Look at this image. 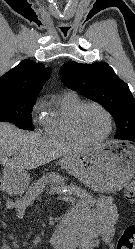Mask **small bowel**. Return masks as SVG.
Returning <instances> with one entry per match:
<instances>
[{
  "label": "small bowel",
  "instance_id": "c3829d8e",
  "mask_svg": "<svg viewBox=\"0 0 135 249\" xmlns=\"http://www.w3.org/2000/svg\"><path fill=\"white\" fill-rule=\"evenodd\" d=\"M98 211H87L88 236L94 242H103L111 245L114 235V226L118 220V210L113 200L109 196H103L96 200ZM5 207L15 210L18 219H22L26 214V205L18 199H10L5 202ZM1 249H11L4 243Z\"/></svg>",
  "mask_w": 135,
  "mask_h": 249
}]
</instances>
